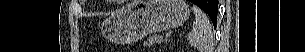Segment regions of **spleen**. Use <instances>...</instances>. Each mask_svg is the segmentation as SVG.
I'll return each mask as SVG.
<instances>
[{
    "instance_id": "3e777b00",
    "label": "spleen",
    "mask_w": 305,
    "mask_h": 52,
    "mask_svg": "<svg viewBox=\"0 0 305 52\" xmlns=\"http://www.w3.org/2000/svg\"><path fill=\"white\" fill-rule=\"evenodd\" d=\"M192 9L195 14V21L187 39L200 52H213L214 38L210 21L198 6L193 5Z\"/></svg>"
}]
</instances>
